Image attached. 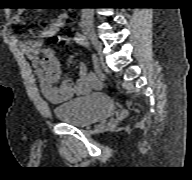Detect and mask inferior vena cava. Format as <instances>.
<instances>
[{
  "label": "inferior vena cava",
  "instance_id": "602c4592",
  "mask_svg": "<svg viewBox=\"0 0 192 180\" xmlns=\"http://www.w3.org/2000/svg\"><path fill=\"white\" fill-rule=\"evenodd\" d=\"M92 10L91 8H83L82 9V18H88V19H92Z\"/></svg>",
  "mask_w": 192,
  "mask_h": 180
}]
</instances>
